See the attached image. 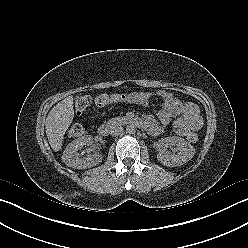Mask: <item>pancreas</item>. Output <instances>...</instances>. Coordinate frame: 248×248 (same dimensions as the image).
Segmentation results:
<instances>
[{
	"label": "pancreas",
	"instance_id": "cf45deb5",
	"mask_svg": "<svg viewBox=\"0 0 248 248\" xmlns=\"http://www.w3.org/2000/svg\"><path fill=\"white\" fill-rule=\"evenodd\" d=\"M128 120L127 117H115L107 121L106 125L112 127L115 125L123 124Z\"/></svg>",
	"mask_w": 248,
	"mask_h": 248
}]
</instances>
